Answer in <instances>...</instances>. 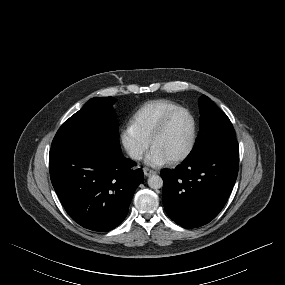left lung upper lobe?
Masks as SVG:
<instances>
[{"label":"left lung upper lobe","instance_id":"5c2ea615","mask_svg":"<svg viewBox=\"0 0 285 285\" xmlns=\"http://www.w3.org/2000/svg\"><path fill=\"white\" fill-rule=\"evenodd\" d=\"M200 131L194 147L185 161L197 160L212 154L239 150L234 128L214 102L202 95L199 99Z\"/></svg>","mask_w":285,"mask_h":285}]
</instances>
